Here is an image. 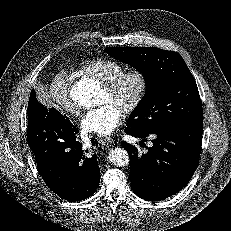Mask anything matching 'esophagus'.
I'll return each instance as SVG.
<instances>
[{
    "label": "esophagus",
    "instance_id": "34e87169",
    "mask_svg": "<svg viewBox=\"0 0 231 231\" xmlns=\"http://www.w3.org/2000/svg\"><path fill=\"white\" fill-rule=\"evenodd\" d=\"M101 143H102L103 145L108 146V145L113 144V143H114V140H113L112 138H110V137H105V138L101 139Z\"/></svg>",
    "mask_w": 231,
    "mask_h": 231
}]
</instances>
